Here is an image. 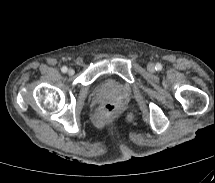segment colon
I'll list each match as a JSON object with an SVG mask.
<instances>
[{
    "mask_svg": "<svg viewBox=\"0 0 215 183\" xmlns=\"http://www.w3.org/2000/svg\"><path fill=\"white\" fill-rule=\"evenodd\" d=\"M117 107L113 104H107L103 106L96 114V121H104L113 117L116 113Z\"/></svg>",
    "mask_w": 215,
    "mask_h": 183,
    "instance_id": "obj_1",
    "label": "colon"
}]
</instances>
